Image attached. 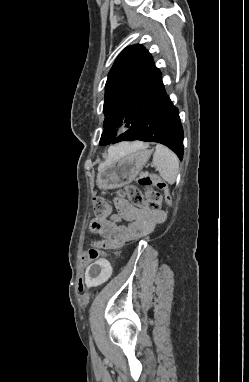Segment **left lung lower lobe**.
I'll use <instances>...</instances> for the list:
<instances>
[{"mask_svg": "<svg viewBox=\"0 0 249 382\" xmlns=\"http://www.w3.org/2000/svg\"><path fill=\"white\" fill-rule=\"evenodd\" d=\"M134 140L161 143L174 151L180 160L183 159V129L179 112L167 96L164 85L138 121L112 143Z\"/></svg>", "mask_w": 249, "mask_h": 382, "instance_id": "left-lung-lower-lobe-1", "label": "left lung lower lobe"}]
</instances>
